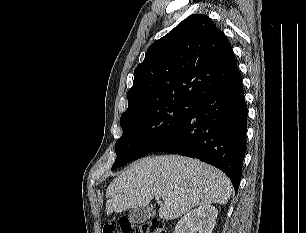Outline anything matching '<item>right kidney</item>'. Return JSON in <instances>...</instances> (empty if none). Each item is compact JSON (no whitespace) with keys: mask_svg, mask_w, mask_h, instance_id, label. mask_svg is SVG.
<instances>
[{"mask_svg":"<svg viewBox=\"0 0 306 233\" xmlns=\"http://www.w3.org/2000/svg\"><path fill=\"white\" fill-rule=\"evenodd\" d=\"M217 214V209L212 205L199 206L179 220L174 233H212Z\"/></svg>","mask_w":306,"mask_h":233,"instance_id":"obj_1","label":"right kidney"}]
</instances>
